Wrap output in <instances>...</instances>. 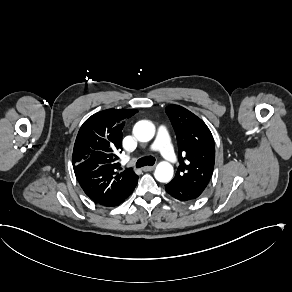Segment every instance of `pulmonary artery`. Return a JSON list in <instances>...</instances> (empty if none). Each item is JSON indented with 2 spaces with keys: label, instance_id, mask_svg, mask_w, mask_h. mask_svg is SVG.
I'll return each instance as SVG.
<instances>
[{
  "label": "pulmonary artery",
  "instance_id": "pulmonary-artery-1",
  "mask_svg": "<svg viewBox=\"0 0 292 292\" xmlns=\"http://www.w3.org/2000/svg\"><path fill=\"white\" fill-rule=\"evenodd\" d=\"M171 126V121L169 119H164L161 122V127L163 129H168ZM168 131L165 130H158L157 134L154 138V144L151 146L152 148H154L157 151H162L163 156L168 159V162L170 164H175L177 162V157L175 155H173V146L171 145V137L168 134ZM150 148H147V153L149 152ZM141 154L143 153L142 151L140 152ZM135 156H137L138 154L135 153Z\"/></svg>",
  "mask_w": 292,
  "mask_h": 292
}]
</instances>
